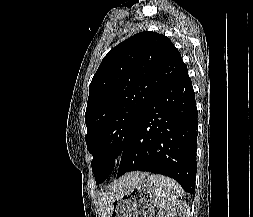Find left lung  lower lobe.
Masks as SVG:
<instances>
[{"instance_id":"1","label":"left lung lower lobe","mask_w":253,"mask_h":217,"mask_svg":"<svg viewBox=\"0 0 253 217\" xmlns=\"http://www.w3.org/2000/svg\"><path fill=\"white\" fill-rule=\"evenodd\" d=\"M197 108L187 66L153 99L134 123L123 148L117 178L148 171L175 179L194 193Z\"/></svg>"}]
</instances>
